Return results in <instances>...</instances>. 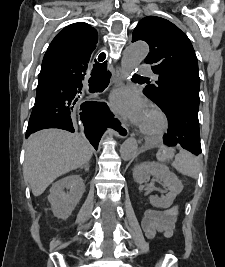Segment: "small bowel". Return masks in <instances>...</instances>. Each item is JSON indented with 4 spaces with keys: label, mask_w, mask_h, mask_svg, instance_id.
I'll return each mask as SVG.
<instances>
[{
    "label": "small bowel",
    "mask_w": 225,
    "mask_h": 267,
    "mask_svg": "<svg viewBox=\"0 0 225 267\" xmlns=\"http://www.w3.org/2000/svg\"><path fill=\"white\" fill-rule=\"evenodd\" d=\"M177 207L173 206L165 210H148L146 211L142 225L147 238H153L157 233L163 234L170 238L176 231L175 219Z\"/></svg>",
    "instance_id": "1"
}]
</instances>
